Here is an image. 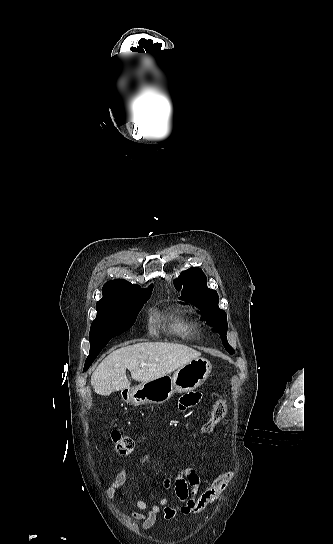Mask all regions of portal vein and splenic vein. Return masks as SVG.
<instances>
[{"label": "portal vein and splenic vein", "instance_id": "portal-vein-and-splenic-vein-1", "mask_svg": "<svg viewBox=\"0 0 333 544\" xmlns=\"http://www.w3.org/2000/svg\"><path fill=\"white\" fill-rule=\"evenodd\" d=\"M145 365H146L145 363H142V364L140 365V367H144Z\"/></svg>", "mask_w": 333, "mask_h": 544}]
</instances>
